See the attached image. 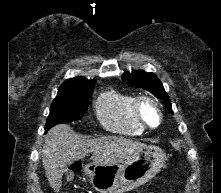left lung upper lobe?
I'll return each instance as SVG.
<instances>
[{
	"mask_svg": "<svg viewBox=\"0 0 221 193\" xmlns=\"http://www.w3.org/2000/svg\"><path fill=\"white\" fill-rule=\"evenodd\" d=\"M123 81L142 87L150 91L155 97L163 100L164 105L170 113L173 114L171 102L169 101V96L165 92L161 81L153 73H146L144 71H134L131 74L125 72L122 75Z\"/></svg>",
	"mask_w": 221,
	"mask_h": 193,
	"instance_id": "left-lung-upper-lobe-1",
	"label": "left lung upper lobe"
}]
</instances>
